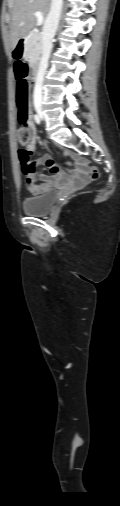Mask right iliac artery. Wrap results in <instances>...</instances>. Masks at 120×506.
<instances>
[{"mask_svg":"<svg viewBox=\"0 0 120 506\" xmlns=\"http://www.w3.org/2000/svg\"><path fill=\"white\" fill-rule=\"evenodd\" d=\"M34 120L37 124H40L41 119L37 114L34 115Z\"/></svg>","mask_w":120,"mask_h":506,"instance_id":"82829eb1","label":"right iliac artery"}]
</instances>
